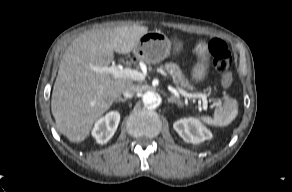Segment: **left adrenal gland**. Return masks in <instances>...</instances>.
Returning a JSON list of instances; mask_svg holds the SVG:
<instances>
[{
    "label": "left adrenal gland",
    "instance_id": "1",
    "mask_svg": "<svg viewBox=\"0 0 292 192\" xmlns=\"http://www.w3.org/2000/svg\"><path fill=\"white\" fill-rule=\"evenodd\" d=\"M167 101H168V103H176L179 106L183 105V103L180 101V99H177L174 96L167 97Z\"/></svg>",
    "mask_w": 292,
    "mask_h": 192
}]
</instances>
